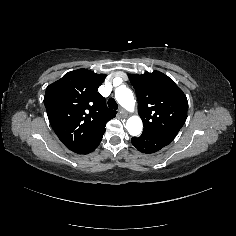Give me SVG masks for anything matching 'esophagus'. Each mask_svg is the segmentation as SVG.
<instances>
[{
    "label": "esophagus",
    "mask_w": 236,
    "mask_h": 236,
    "mask_svg": "<svg viewBox=\"0 0 236 236\" xmlns=\"http://www.w3.org/2000/svg\"><path fill=\"white\" fill-rule=\"evenodd\" d=\"M119 113L121 114L122 117H127V112L123 109V108H120L119 109Z\"/></svg>",
    "instance_id": "34e87169"
}]
</instances>
